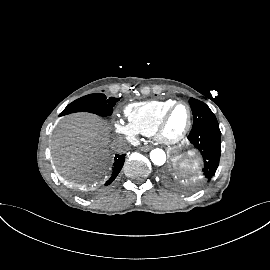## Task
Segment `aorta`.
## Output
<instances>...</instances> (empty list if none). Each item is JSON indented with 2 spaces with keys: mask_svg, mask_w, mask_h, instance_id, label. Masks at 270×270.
<instances>
[{
  "mask_svg": "<svg viewBox=\"0 0 270 270\" xmlns=\"http://www.w3.org/2000/svg\"><path fill=\"white\" fill-rule=\"evenodd\" d=\"M150 159L155 165L161 166L166 162V154L162 149L156 148L150 152Z\"/></svg>",
  "mask_w": 270,
  "mask_h": 270,
  "instance_id": "1",
  "label": "aorta"
}]
</instances>
